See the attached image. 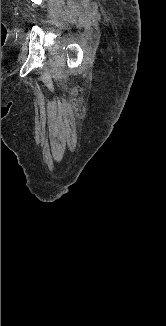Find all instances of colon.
I'll return each instance as SVG.
<instances>
[{
    "label": "colon",
    "mask_w": 166,
    "mask_h": 326,
    "mask_svg": "<svg viewBox=\"0 0 166 326\" xmlns=\"http://www.w3.org/2000/svg\"><path fill=\"white\" fill-rule=\"evenodd\" d=\"M7 36H8V30H7V27H6L5 24L1 21V48H2V47L4 46V44L6 43Z\"/></svg>",
    "instance_id": "colon-1"
}]
</instances>
